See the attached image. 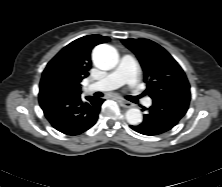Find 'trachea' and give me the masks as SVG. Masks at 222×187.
Here are the masks:
<instances>
[{
  "label": "trachea",
  "mask_w": 222,
  "mask_h": 187,
  "mask_svg": "<svg viewBox=\"0 0 222 187\" xmlns=\"http://www.w3.org/2000/svg\"><path fill=\"white\" fill-rule=\"evenodd\" d=\"M128 100L132 101V102H138V97L137 96H127L126 97Z\"/></svg>",
  "instance_id": "trachea-1"
}]
</instances>
